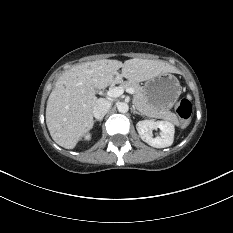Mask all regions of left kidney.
Wrapping results in <instances>:
<instances>
[{"label":"left kidney","instance_id":"5707ae66","mask_svg":"<svg viewBox=\"0 0 233 233\" xmlns=\"http://www.w3.org/2000/svg\"><path fill=\"white\" fill-rule=\"evenodd\" d=\"M159 128L160 137L153 138L151 130ZM136 129L141 139L155 148H165L172 145L174 140L175 128L168 121L142 120L136 124Z\"/></svg>","mask_w":233,"mask_h":233}]
</instances>
